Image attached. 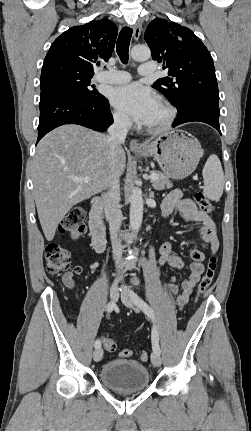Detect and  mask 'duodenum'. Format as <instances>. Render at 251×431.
<instances>
[{"instance_id":"duodenum-1","label":"duodenum","mask_w":251,"mask_h":431,"mask_svg":"<svg viewBox=\"0 0 251 431\" xmlns=\"http://www.w3.org/2000/svg\"><path fill=\"white\" fill-rule=\"evenodd\" d=\"M102 210V199H93L89 213V229L93 247L97 252H103L106 248V229L102 219Z\"/></svg>"}]
</instances>
